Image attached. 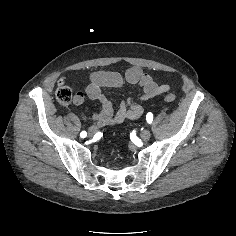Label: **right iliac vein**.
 Wrapping results in <instances>:
<instances>
[{"label": "right iliac vein", "instance_id": "63e3f726", "mask_svg": "<svg viewBox=\"0 0 236 236\" xmlns=\"http://www.w3.org/2000/svg\"><path fill=\"white\" fill-rule=\"evenodd\" d=\"M96 132H97V128L94 127V126H92V127H90L89 130H88V135H89L90 137H92Z\"/></svg>", "mask_w": 236, "mask_h": 236}]
</instances>
